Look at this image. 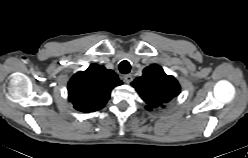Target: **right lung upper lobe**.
Instances as JSON below:
<instances>
[{"mask_svg": "<svg viewBox=\"0 0 248 158\" xmlns=\"http://www.w3.org/2000/svg\"><path fill=\"white\" fill-rule=\"evenodd\" d=\"M122 81L112 70L91 64L86 71L76 73L68 83L69 100L81 112H94L103 108L111 90Z\"/></svg>", "mask_w": 248, "mask_h": 158, "instance_id": "obj_1", "label": "right lung upper lobe"}]
</instances>
